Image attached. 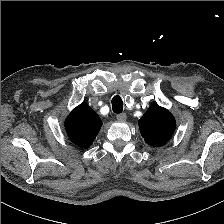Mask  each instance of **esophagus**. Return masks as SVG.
I'll return each instance as SVG.
<instances>
[{
	"instance_id": "1",
	"label": "esophagus",
	"mask_w": 224,
	"mask_h": 224,
	"mask_svg": "<svg viewBox=\"0 0 224 224\" xmlns=\"http://www.w3.org/2000/svg\"><path fill=\"white\" fill-rule=\"evenodd\" d=\"M116 118H117L118 121H125L126 118H127V115H126V113H121V114H118L116 116Z\"/></svg>"
}]
</instances>
